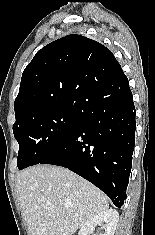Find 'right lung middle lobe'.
Returning a JSON list of instances; mask_svg holds the SVG:
<instances>
[{
  "label": "right lung middle lobe",
  "instance_id": "obj_1",
  "mask_svg": "<svg viewBox=\"0 0 155 235\" xmlns=\"http://www.w3.org/2000/svg\"><path fill=\"white\" fill-rule=\"evenodd\" d=\"M79 126L76 106H43L16 117L13 133L19 143L18 168L38 164L66 142Z\"/></svg>",
  "mask_w": 155,
  "mask_h": 235
}]
</instances>
